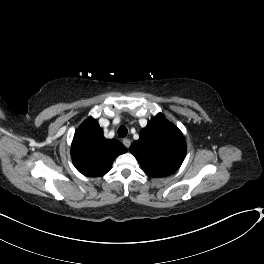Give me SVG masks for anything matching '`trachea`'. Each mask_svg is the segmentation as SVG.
Segmentation results:
<instances>
[{"label": "trachea", "instance_id": "trachea-1", "mask_svg": "<svg viewBox=\"0 0 264 264\" xmlns=\"http://www.w3.org/2000/svg\"><path fill=\"white\" fill-rule=\"evenodd\" d=\"M127 133H128V129L125 126L119 127V129H118V135L121 138H124L127 135Z\"/></svg>", "mask_w": 264, "mask_h": 264}]
</instances>
